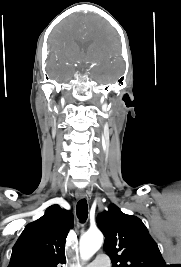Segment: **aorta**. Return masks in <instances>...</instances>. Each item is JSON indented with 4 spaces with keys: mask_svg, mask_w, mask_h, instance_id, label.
I'll use <instances>...</instances> for the list:
<instances>
[{
    "mask_svg": "<svg viewBox=\"0 0 181 267\" xmlns=\"http://www.w3.org/2000/svg\"><path fill=\"white\" fill-rule=\"evenodd\" d=\"M103 234L99 230L88 231L80 239V256L83 260L90 259L102 246Z\"/></svg>",
    "mask_w": 181,
    "mask_h": 267,
    "instance_id": "aorta-1",
    "label": "aorta"
}]
</instances>
